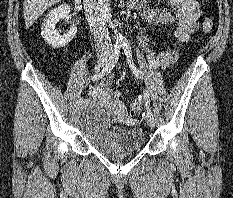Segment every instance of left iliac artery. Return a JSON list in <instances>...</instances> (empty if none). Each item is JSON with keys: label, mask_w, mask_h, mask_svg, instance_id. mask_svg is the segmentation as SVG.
<instances>
[{"label": "left iliac artery", "mask_w": 233, "mask_h": 198, "mask_svg": "<svg viewBox=\"0 0 233 198\" xmlns=\"http://www.w3.org/2000/svg\"><path fill=\"white\" fill-rule=\"evenodd\" d=\"M121 46H122L124 53L127 57V61H128V64H129L131 71L133 72V74L136 77H138L139 79L142 80L143 73L136 67V65L134 64V62L132 60V52H131V47H130L128 40H122ZM144 100H145V106L147 109V114L153 115L151 108H150V99H149V94H148L147 90L144 91Z\"/></svg>", "instance_id": "1"}]
</instances>
